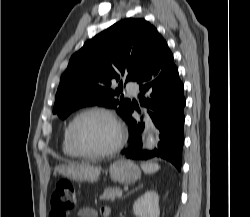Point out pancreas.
<instances>
[{"mask_svg": "<svg viewBox=\"0 0 250 217\" xmlns=\"http://www.w3.org/2000/svg\"><path fill=\"white\" fill-rule=\"evenodd\" d=\"M121 191L119 187H109L104 190L100 199L101 200H112L114 201L117 197V194Z\"/></svg>", "mask_w": 250, "mask_h": 217, "instance_id": "obj_1", "label": "pancreas"}]
</instances>
